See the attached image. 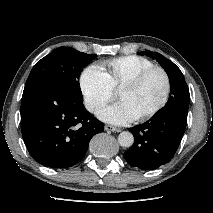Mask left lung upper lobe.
Returning <instances> with one entry per match:
<instances>
[{
  "label": "left lung upper lobe",
  "instance_id": "left-lung-upper-lobe-1",
  "mask_svg": "<svg viewBox=\"0 0 213 213\" xmlns=\"http://www.w3.org/2000/svg\"><path fill=\"white\" fill-rule=\"evenodd\" d=\"M139 54H146L151 58L156 59L169 77L171 88L169 100L167 105H165L159 113L166 110H180L188 113L190 94L181 70L172 61L165 58L160 53L142 51L139 52Z\"/></svg>",
  "mask_w": 213,
  "mask_h": 213
}]
</instances>
